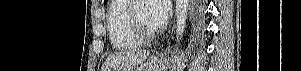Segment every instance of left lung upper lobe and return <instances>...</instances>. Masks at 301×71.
<instances>
[{
  "instance_id": "left-lung-upper-lobe-1",
  "label": "left lung upper lobe",
  "mask_w": 301,
  "mask_h": 71,
  "mask_svg": "<svg viewBox=\"0 0 301 71\" xmlns=\"http://www.w3.org/2000/svg\"><path fill=\"white\" fill-rule=\"evenodd\" d=\"M107 1H108V0H105V1H104V4H106ZM193 37H194L195 39H200V38L202 37V35H200L199 33H197L196 30L193 28Z\"/></svg>"
}]
</instances>
